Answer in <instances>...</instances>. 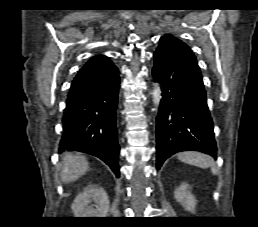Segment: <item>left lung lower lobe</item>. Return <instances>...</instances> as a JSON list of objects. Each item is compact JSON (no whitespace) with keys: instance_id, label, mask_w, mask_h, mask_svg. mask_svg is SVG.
I'll return each instance as SVG.
<instances>
[{"instance_id":"1","label":"left lung lower lobe","mask_w":258,"mask_h":227,"mask_svg":"<svg viewBox=\"0 0 258 227\" xmlns=\"http://www.w3.org/2000/svg\"><path fill=\"white\" fill-rule=\"evenodd\" d=\"M152 75L162 90L156 124L157 169L172 154L196 150L216 159L217 146L197 61L159 45Z\"/></svg>"}]
</instances>
